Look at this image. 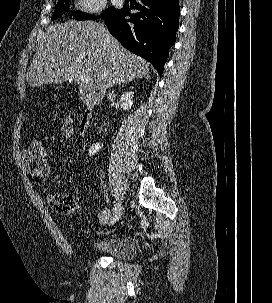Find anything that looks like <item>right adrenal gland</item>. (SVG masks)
Returning <instances> with one entry per match:
<instances>
[{"mask_svg": "<svg viewBox=\"0 0 272 303\" xmlns=\"http://www.w3.org/2000/svg\"><path fill=\"white\" fill-rule=\"evenodd\" d=\"M126 84V82H122V83H119L118 85H116V86H123V85H125Z\"/></svg>", "mask_w": 272, "mask_h": 303, "instance_id": "obj_1", "label": "right adrenal gland"}]
</instances>
